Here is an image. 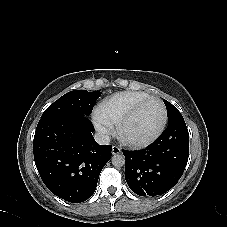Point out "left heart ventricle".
<instances>
[{
    "instance_id": "1",
    "label": "left heart ventricle",
    "mask_w": 227,
    "mask_h": 227,
    "mask_svg": "<svg viewBox=\"0 0 227 227\" xmlns=\"http://www.w3.org/2000/svg\"><path fill=\"white\" fill-rule=\"evenodd\" d=\"M163 109L159 102L145 104L137 116L126 126L124 134L132 140H144L150 137L160 126Z\"/></svg>"
}]
</instances>
